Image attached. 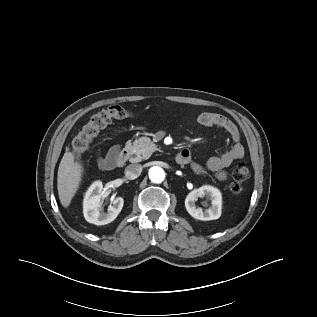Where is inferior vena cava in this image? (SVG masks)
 I'll use <instances>...</instances> for the list:
<instances>
[{
  "instance_id": "obj_1",
  "label": "inferior vena cava",
  "mask_w": 317,
  "mask_h": 317,
  "mask_svg": "<svg viewBox=\"0 0 317 317\" xmlns=\"http://www.w3.org/2000/svg\"><path fill=\"white\" fill-rule=\"evenodd\" d=\"M143 170L142 165L140 164H130L125 169V175L129 179H135L137 178Z\"/></svg>"
}]
</instances>
